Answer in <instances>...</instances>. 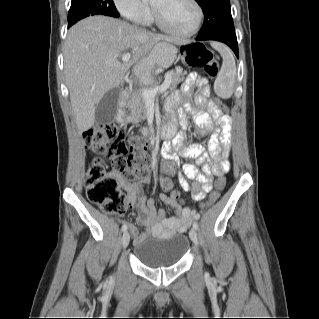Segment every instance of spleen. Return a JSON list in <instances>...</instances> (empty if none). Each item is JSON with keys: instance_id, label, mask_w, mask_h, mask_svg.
<instances>
[{"instance_id": "spleen-1", "label": "spleen", "mask_w": 319, "mask_h": 319, "mask_svg": "<svg viewBox=\"0 0 319 319\" xmlns=\"http://www.w3.org/2000/svg\"><path fill=\"white\" fill-rule=\"evenodd\" d=\"M222 59V66L214 82V91L222 99H228L233 95L236 77V64L232 52L221 43H213Z\"/></svg>"}]
</instances>
